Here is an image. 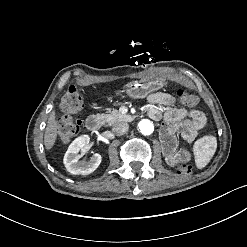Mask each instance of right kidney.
<instances>
[{
    "instance_id": "right-kidney-1",
    "label": "right kidney",
    "mask_w": 247,
    "mask_h": 247,
    "mask_svg": "<svg viewBox=\"0 0 247 247\" xmlns=\"http://www.w3.org/2000/svg\"><path fill=\"white\" fill-rule=\"evenodd\" d=\"M90 137L88 135H81L77 137L68 147L64 155V165L71 174L88 175L95 171L101 163V155L94 154L89 161H79L78 155L81 149H86L89 146Z\"/></svg>"
}]
</instances>
